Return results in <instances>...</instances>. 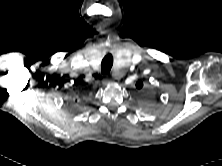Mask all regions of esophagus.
<instances>
[{"label": "esophagus", "mask_w": 222, "mask_h": 166, "mask_svg": "<svg viewBox=\"0 0 222 166\" xmlns=\"http://www.w3.org/2000/svg\"><path fill=\"white\" fill-rule=\"evenodd\" d=\"M114 76L120 78V77H122V73H114ZM102 83H103L104 85H106V84L109 83V80H108L107 78H104L103 81H102Z\"/></svg>", "instance_id": "1"}]
</instances>
